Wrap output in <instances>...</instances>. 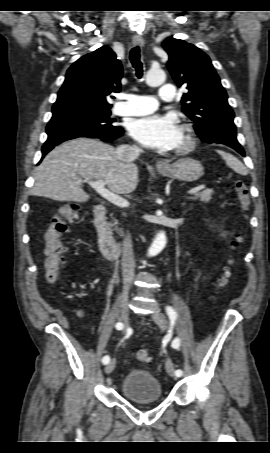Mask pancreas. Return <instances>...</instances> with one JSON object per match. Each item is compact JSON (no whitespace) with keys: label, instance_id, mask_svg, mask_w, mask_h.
I'll list each match as a JSON object with an SVG mask.
<instances>
[{"label":"pancreas","instance_id":"cf45deb5","mask_svg":"<svg viewBox=\"0 0 270 453\" xmlns=\"http://www.w3.org/2000/svg\"><path fill=\"white\" fill-rule=\"evenodd\" d=\"M213 193H214L213 189H206L204 191L195 193L192 197H190V199H192V200H200L203 203H208L212 199ZM117 224H118L117 222H114L112 224V226H115L116 230L118 232H121V230H119Z\"/></svg>","mask_w":270,"mask_h":453}]
</instances>
